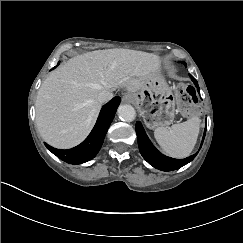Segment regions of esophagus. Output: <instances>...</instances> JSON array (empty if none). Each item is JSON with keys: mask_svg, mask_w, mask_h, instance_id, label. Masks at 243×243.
Instances as JSON below:
<instances>
[{"mask_svg": "<svg viewBox=\"0 0 243 243\" xmlns=\"http://www.w3.org/2000/svg\"><path fill=\"white\" fill-rule=\"evenodd\" d=\"M123 102H130V100H131V95L130 94H125L124 96H123Z\"/></svg>", "mask_w": 243, "mask_h": 243, "instance_id": "esophagus-1", "label": "esophagus"}]
</instances>
